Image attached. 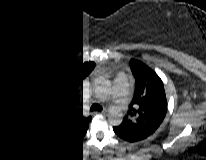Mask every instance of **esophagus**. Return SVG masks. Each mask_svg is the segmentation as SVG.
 <instances>
[{"label":"esophagus","instance_id":"1","mask_svg":"<svg viewBox=\"0 0 206 160\" xmlns=\"http://www.w3.org/2000/svg\"><path fill=\"white\" fill-rule=\"evenodd\" d=\"M106 112H107V109H106V108H103L102 114H103V115H106Z\"/></svg>","mask_w":206,"mask_h":160}]
</instances>
